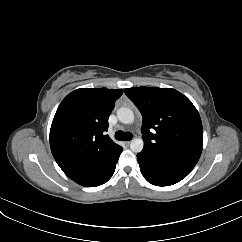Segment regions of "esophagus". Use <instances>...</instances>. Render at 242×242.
<instances>
[{
  "label": "esophagus",
  "instance_id": "34e87169",
  "mask_svg": "<svg viewBox=\"0 0 242 242\" xmlns=\"http://www.w3.org/2000/svg\"><path fill=\"white\" fill-rule=\"evenodd\" d=\"M124 143H125L126 146H129L131 142L130 141H126Z\"/></svg>",
  "mask_w": 242,
  "mask_h": 242
}]
</instances>
